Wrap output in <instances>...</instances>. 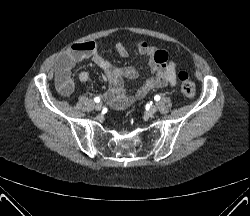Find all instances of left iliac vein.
I'll return each instance as SVG.
<instances>
[{"label":"left iliac vein","mask_w":250,"mask_h":216,"mask_svg":"<svg viewBox=\"0 0 250 216\" xmlns=\"http://www.w3.org/2000/svg\"><path fill=\"white\" fill-rule=\"evenodd\" d=\"M157 112V106L156 105H152L150 106V108L148 109V113L149 114H154Z\"/></svg>","instance_id":"4c4485c4"}]
</instances>
